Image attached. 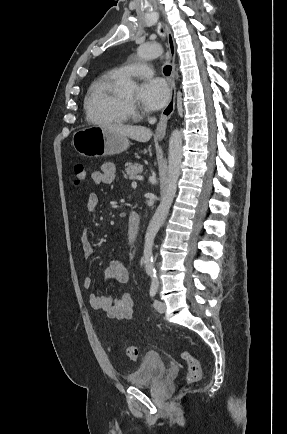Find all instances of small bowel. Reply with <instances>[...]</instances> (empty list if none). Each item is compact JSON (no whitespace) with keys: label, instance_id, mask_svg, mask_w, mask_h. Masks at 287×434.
I'll return each instance as SVG.
<instances>
[{"label":"small bowel","instance_id":"obj_1","mask_svg":"<svg viewBox=\"0 0 287 434\" xmlns=\"http://www.w3.org/2000/svg\"><path fill=\"white\" fill-rule=\"evenodd\" d=\"M92 182L95 185L111 184L116 179V169L111 163H104L100 169L91 174ZM99 206V197L95 193L88 195L85 208L89 213L94 212ZM83 257L89 259L93 255V247L90 239L85 232L80 240ZM105 279L116 283H127L130 273L126 265L119 259L113 260L105 270ZM82 285L89 290L93 287V278L86 276L82 280ZM91 306L99 311H103L111 319L126 320L130 319L133 314L135 305L134 297L124 292L119 298L91 293L89 296Z\"/></svg>","mask_w":287,"mask_h":434}]
</instances>
